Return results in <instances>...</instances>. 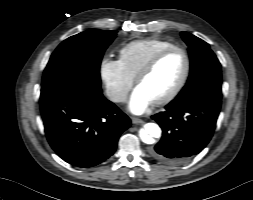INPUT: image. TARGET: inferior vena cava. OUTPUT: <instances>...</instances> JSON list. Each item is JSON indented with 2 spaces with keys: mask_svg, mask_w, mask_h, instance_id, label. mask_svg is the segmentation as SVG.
<instances>
[{
  "mask_svg": "<svg viewBox=\"0 0 253 200\" xmlns=\"http://www.w3.org/2000/svg\"><path fill=\"white\" fill-rule=\"evenodd\" d=\"M109 98L114 102H124L127 99V95L123 92H111Z\"/></svg>",
  "mask_w": 253,
  "mask_h": 200,
  "instance_id": "602c4592",
  "label": "inferior vena cava"
}]
</instances>
